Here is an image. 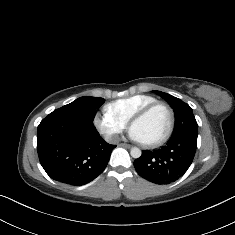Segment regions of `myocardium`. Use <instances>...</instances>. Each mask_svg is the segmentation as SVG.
I'll list each match as a JSON object with an SVG mask.
<instances>
[{
    "mask_svg": "<svg viewBox=\"0 0 235 235\" xmlns=\"http://www.w3.org/2000/svg\"><path fill=\"white\" fill-rule=\"evenodd\" d=\"M159 108L164 109V110L168 113V115H169V120H170V122H169V128H168L166 134H165L163 137H161V138H159V139H157V140H155V141H153V142H150V143H141V145H142L144 148H146V149H153V148H156V147H158V146L164 144L165 142H167V141L171 138V136H172V134H173V132H174V129H175V122H176L174 111H173L172 108H171L169 105H167L166 103H163V102H156V103H153V104H151V105L145 107L144 109H142V110L139 111L138 113H136V114L132 117L131 122H130V126L132 127V125H133L136 121H139V120H141V119L147 117L151 112H153L154 110L159 109Z\"/></svg>",
    "mask_w": 235,
    "mask_h": 235,
    "instance_id": "f54148a6",
    "label": "myocardium"
}]
</instances>
